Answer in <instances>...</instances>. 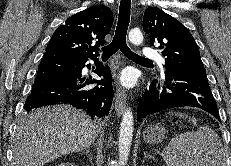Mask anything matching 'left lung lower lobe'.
I'll use <instances>...</instances> for the list:
<instances>
[{"label":"left lung lower lobe","instance_id":"1","mask_svg":"<svg viewBox=\"0 0 231 166\" xmlns=\"http://www.w3.org/2000/svg\"><path fill=\"white\" fill-rule=\"evenodd\" d=\"M201 108L220 121L206 72L166 69L162 80H154L139 101L137 120L173 107Z\"/></svg>","mask_w":231,"mask_h":166}]
</instances>
